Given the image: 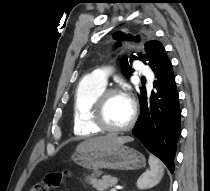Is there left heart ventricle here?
Returning a JSON list of instances; mask_svg holds the SVG:
<instances>
[{"instance_id":"left-heart-ventricle-1","label":"left heart ventricle","mask_w":210,"mask_h":191,"mask_svg":"<svg viewBox=\"0 0 210 191\" xmlns=\"http://www.w3.org/2000/svg\"><path fill=\"white\" fill-rule=\"evenodd\" d=\"M131 102L124 95L111 96L106 103L104 116L110 127H122L126 125L131 117Z\"/></svg>"}]
</instances>
